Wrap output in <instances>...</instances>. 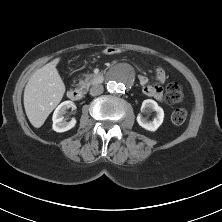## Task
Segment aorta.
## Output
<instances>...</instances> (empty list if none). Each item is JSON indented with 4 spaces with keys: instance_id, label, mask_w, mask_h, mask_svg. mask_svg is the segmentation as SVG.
Here are the masks:
<instances>
[{
    "instance_id": "1",
    "label": "aorta",
    "mask_w": 222,
    "mask_h": 222,
    "mask_svg": "<svg viewBox=\"0 0 222 222\" xmlns=\"http://www.w3.org/2000/svg\"><path fill=\"white\" fill-rule=\"evenodd\" d=\"M133 83V75L127 67L114 70L107 80V90L112 94L124 93Z\"/></svg>"
}]
</instances>
